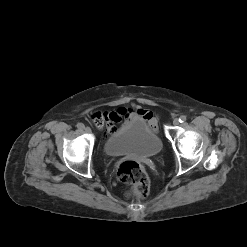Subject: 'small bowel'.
Instances as JSON below:
<instances>
[{
	"instance_id": "small-bowel-1",
	"label": "small bowel",
	"mask_w": 247,
	"mask_h": 247,
	"mask_svg": "<svg viewBox=\"0 0 247 247\" xmlns=\"http://www.w3.org/2000/svg\"><path fill=\"white\" fill-rule=\"evenodd\" d=\"M106 119V129L109 134H113L116 132V123L120 122L124 118H135L139 117L142 120L148 122L150 127L157 131L158 129V117L153 114L151 111L144 109H125L120 108L116 111L110 112L108 114L103 115Z\"/></svg>"
}]
</instances>
